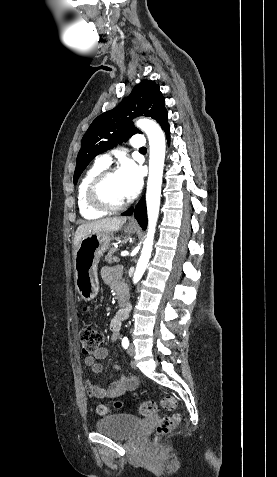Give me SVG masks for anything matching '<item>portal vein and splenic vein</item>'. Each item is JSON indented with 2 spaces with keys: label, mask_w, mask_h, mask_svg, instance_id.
Wrapping results in <instances>:
<instances>
[{
  "label": "portal vein and splenic vein",
  "mask_w": 277,
  "mask_h": 477,
  "mask_svg": "<svg viewBox=\"0 0 277 477\" xmlns=\"http://www.w3.org/2000/svg\"><path fill=\"white\" fill-rule=\"evenodd\" d=\"M128 255H129V252L126 251V250H124V251L121 252V256H122V257L128 256Z\"/></svg>",
  "instance_id": "portal-vein-and-splenic-vein-1"
}]
</instances>
